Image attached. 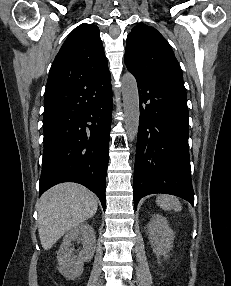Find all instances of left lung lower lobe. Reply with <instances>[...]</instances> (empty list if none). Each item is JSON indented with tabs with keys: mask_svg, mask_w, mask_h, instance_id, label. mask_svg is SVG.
<instances>
[{
	"mask_svg": "<svg viewBox=\"0 0 231 286\" xmlns=\"http://www.w3.org/2000/svg\"><path fill=\"white\" fill-rule=\"evenodd\" d=\"M133 75L140 104L133 186L135 208L142 197L153 193L176 195L193 204L186 90Z\"/></svg>",
	"mask_w": 231,
	"mask_h": 286,
	"instance_id": "0a47b994",
	"label": "left lung lower lobe"
}]
</instances>
